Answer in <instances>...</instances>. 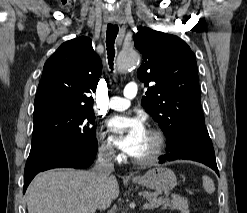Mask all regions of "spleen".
<instances>
[{
	"label": "spleen",
	"instance_id": "3e777b00",
	"mask_svg": "<svg viewBox=\"0 0 247 213\" xmlns=\"http://www.w3.org/2000/svg\"><path fill=\"white\" fill-rule=\"evenodd\" d=\"M202 179H203V186H204V189L206 190V192L207 193H213L215 191V186H214L213 180L206 175H204L202 177Z\"/></svg>",
	"mask_w": 247,
	"mask_h": 213
}]
</instances>
